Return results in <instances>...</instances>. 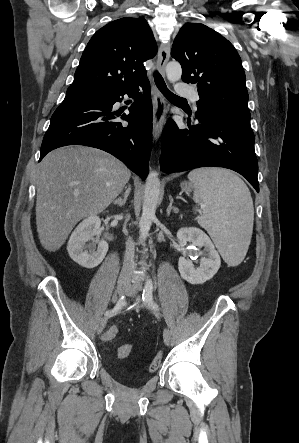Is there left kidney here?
Returning <instances> with one entry per match:
<instances>
[{"label": "left kidney", "mask_w": 299, "mask_h": 443, "mask_svg": "<svg viewBox=\"0 0 299 443\" xmlns=\"http://www.w3.org/2000/svg\"><path fill=\"white\" fill-rule=\"evenodd\" d=\"M177 238L180 242H192L197 247H204L206 252L199 268H194L184 257L179 258L178 269L182 278L191 284H202L210 280L219 270L221 259L207 234L195 227L181 228L177 232Z\"/></svg>", "instance_id": "obj_1"}]
</instances>
